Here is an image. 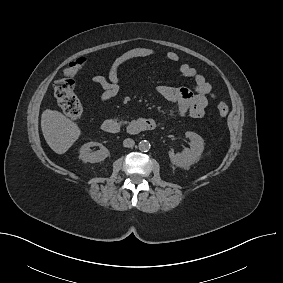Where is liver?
<instances>
[{"label": "liver", "instance_id": "liver-1", "mask_svg": "<svg viewBox=\"0 0 283 283\" xmlns=\"http://www.w3.org/2000/svg\"><path fill=\"white\" fill-rule=\"evenodd\" d=\"M41 129L47 144L57 154L68 151L81 135L76 123L61 112L51 109L43 111Z\"/></svg>", "mask_w": 283, "mask_h": 283}]
</instances>
